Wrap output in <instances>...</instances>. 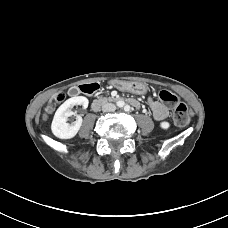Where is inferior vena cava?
<instances>
[{
	"instance_id": "obj_1",
	"label": "inferior vena cava",
	"mask_w": 228,
	"mask_h": 228,
	"mask_svg": "<svg viewBox=\"0 0 228 228\" xmlns=\"http://www.w3.org/2000/svg\"><path fill=\"white\" fill-rule=\"evenodd\" d=\"M104 112H113L116 110V106L112 103H106L102 106Z\"/></svg>"
}]
</instances>
